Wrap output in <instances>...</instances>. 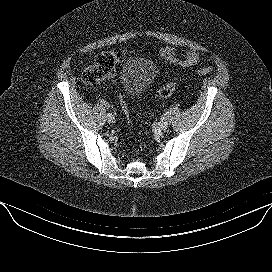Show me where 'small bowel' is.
Returning <instances> with one entry per match:
<instances>
[{
    "label": "small bowel",
    "instance_id": "obj_1",
    "mask_svg": "<svg viewBox=\"0 0 272 272\" xmlns=\"http://www.w3.org/2000/svg\"><path fill=\"white\" fill-rule=\"evenodd\" d=\"M159 50L166 60L182 67H192L200 62V55L195 50H190L184 54H178L168 46H161Z\"/></svg>",
    "mask_w": 272,
    "mask_h": 272
}]
</instances>
